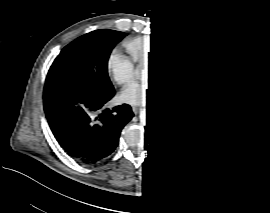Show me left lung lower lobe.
Masks as SVG:
<instances>
[{
  "instance_id": "left-lung-lower-lobe-1",
  "label": "left lung lower lobe",
  "mask_w": 270,
  "mask_h": 213,
  "mask_svg": "<svg viewBox=\"0 0 270 213\" xmlns=\"http://www.w3.org/2000/svg\"><path fill=\"white\" fill-rule=\"evenodd\" d=\"M226 123L221 98L175 100L160 110V123L152 134L159 153L174 164H187L215 149Z\"/></svg>"
}]
</instances>
